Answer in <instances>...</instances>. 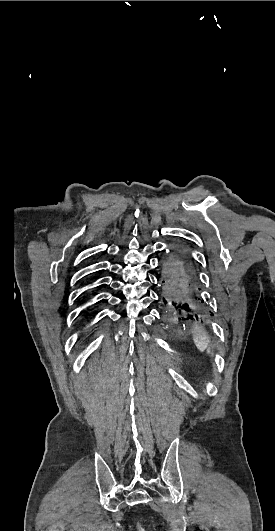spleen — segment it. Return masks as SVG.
<instances>
[{"instance_id":"1","label":"spleen","mask_w":275,"mask_h":531,"mask_svg":"<svg viewBox=\"0 0 275 531\" xmlns=\"http://www.w3.org/2000/svg\"><path fill=\"white\" fill-rule=\"evenodd\" d=\"M193 341L199 351H205V349H208V347H210L209 343H211L210 337H208L206 331H204V329H201L199 325H195L194 327Z\"/></svg>"}]
</instances>
